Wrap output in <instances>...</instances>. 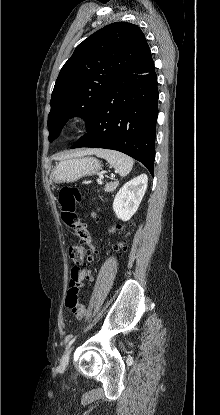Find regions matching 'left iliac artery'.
<instances>
[{
	"label": "left iliac artery",
	"mask_w": 220,
	"mask_h": 415,
	"mask_svg": "<svg viewBox=\"0 0 220 415\" xmlns=\"http://www.w3.org/2000/svg\"><path fill=\"white\" fill-rule=\"evenodd\" d=\"M76 337H77V336H75V337H74V338H73V339L69 342V344H68L67 348H68V347H70V345H71V344L75 341ZM67 348H66V349H67Z\"/></svg>",
	"instance_id": "obj_1"
}]
</instances>
